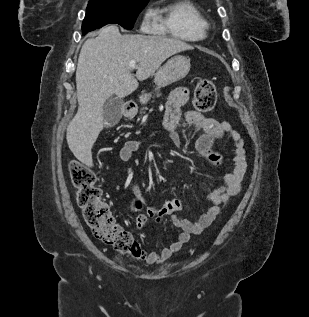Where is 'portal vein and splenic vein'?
Returning <instances> with one entry per match:
<instances>
[{
    "label": "portal vein and splenic vein",
    "mask_w": 309,
    "mask_h": 317,
    "mask_svg": "<svg viewBox=\"0 0 309 317\" xmlns=\"http://www.w3.org/2000/svg\"><path fill=\"white\" fill-rule=\"evenodd\" d=\"M129 67H130L131 69H135V68H136V61H131V62L129 63Z\"/></svg>",
    "instance_id": "portal-vein-and-splenic-vein-1"
}]
</instances>
